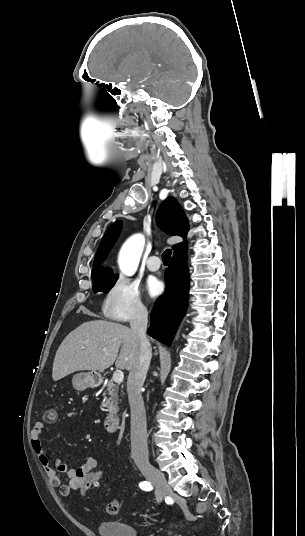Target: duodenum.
I'll use <instances>...</instances> for the list:
<instances>
[{
    "mask_svg": "<svg viewBox=\"0 0 305 536\" xmlns=\"http://www.w3.org/2000/svg\"><path fill=\"white\" fill-rule=\"evenodd\" d=\"M94 382L96 385L101 384L100 379H95ZM103 426H104L105 431L109 433L117 432L120 428V421H119L118 415L114 412L108 413L106 417L104 418Z\"/></svg>",
    "mask_w": 305,
    "mask_h": 536,
    "instance_id": "410a0bca",
    "label": "duodenum"
}]
</instances>
